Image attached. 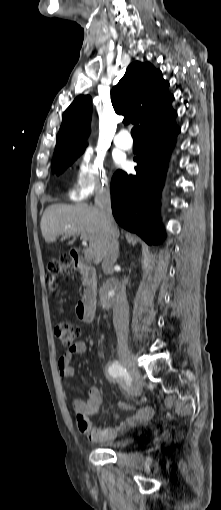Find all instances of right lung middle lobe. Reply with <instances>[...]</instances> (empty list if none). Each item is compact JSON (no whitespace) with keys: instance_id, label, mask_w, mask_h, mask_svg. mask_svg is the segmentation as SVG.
<instances>
[{"instance_id":"1","label":"right lung middle lobe","mask_w":221,"mask_h":510,"mask_svg":"<svg viewBox=\"0 0 221 510\" xmlns=\"http://www.w3.org/2000/svg\"><path fill=\"white\" fill-rule=\"evenodd\" d=\"M85 147H79L67 151L56 158L52 159V171L56 174L62 173L68 166H70L77 157L84 152Z\"/></svg>"}]
</instances>
